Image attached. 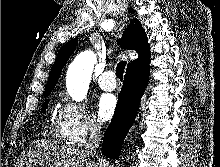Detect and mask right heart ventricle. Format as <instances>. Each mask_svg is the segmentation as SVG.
<instances>
[{
  "label": "right heart ventricle",
  "mask_w": 220,
  "mask_h": 167,
  "mask_svg": "<svg viewBox=\"0 0 220 167\" xmlns=\"http://www.w3.org/2000/svg\"><path fill=\"white\" fill-rule=\"evenodd\" d=\"M56 135H57V137H59L61 139H66L67 140V138L62 134V132L60 130L56 131Z\"/></svg>",
  "instance_id": "e07e8e85"
}]
</instances>
